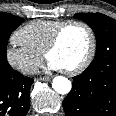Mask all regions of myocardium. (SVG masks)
<instances>
[{
    "label": "myocardium",
    "mask_w": 116,
    "mask_h": 116,
    "mask_svg": "<svg viewBox=\"0 0 116 116\" xmlns=\"http://www.w3.org/2000/svg\"><path fill=\"white\" fill-rule=\"evenodd\" d=\"M75 25L83 27L88 32L89 38H90V44H89L88 53L86 57L84 58V60L76 67L64 70V73L67 75H77L83 72L93 61L95 53H96V48H97V40H96V35L93 28L84 21H80V20L66 21L56 29L49 44L44 50V56L46 59H48V55L57 48L64 31L68 27L75 26Z\"/></svg>",
    "instance_id": "1"
}]
</instances>
